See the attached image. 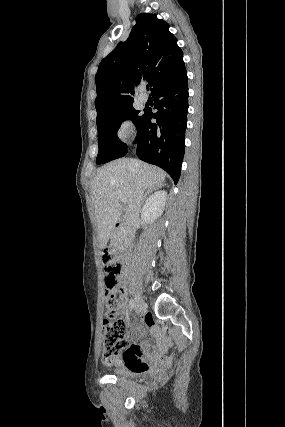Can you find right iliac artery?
<instances>
[{"label": "right iliac artery", "instance_id": "obj_1", "mask_svg": "<svg viewBox=\"0 0 285 427\" xmlns=\"http://www.w3.org/2000/svg\"><path fill=\"white\" fill-rule=\"evenodd\" d=\"M129 306H130V310H131V311H132L133 309H135L136 304H135V301H134L133 299H130Z\"/></svg>", "mask_w": 285, "mask_h": 427}]
</instances>
